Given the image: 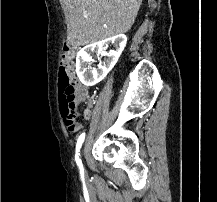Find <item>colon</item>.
<instances>
[{
    "label": "colon",
    "instance_id": "colon-1",
    "mask_svg": "<svg viewBox=\"0 0 217 202\" xmlns=\"http://www.w3.org/2000/svg\"><path fill=\"white\" fill-rule=\"evenodd\" d=\"M74 52H77V47H66L64 50L63 59L60 60L64 67H59L58 79V96L59 102L62 104V111L60 112V117H66L64 120V125L70 131H78L83 128V123L79 121V112L76 107L77 103H88L89 99L87 93H82V98H77L76 102L74 99L75 91H81V86H75V74L76 68H78V63H75Z\"/></svg>",
    "mask_w": 217,
    "mask_h": 202
}]
</instances>
